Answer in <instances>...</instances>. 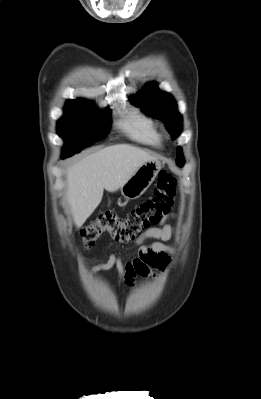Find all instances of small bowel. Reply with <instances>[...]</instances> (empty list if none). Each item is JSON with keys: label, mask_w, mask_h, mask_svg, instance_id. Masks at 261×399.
<instances>
[{"label": "small bowel", "mask_w": 261, "mask_h": 399, "mask_svg": "<svg viewBox=\"0 0 261 399\" xmlns=\"http://www.w3.org/2000/svg\"><path fill=\"white\" fill-rule=\"evenodd\" d=\"M173 215L165 216L158 227L146 230L136 241L137 255L127 262L115 254H110L107 261L96 265L92 273L106 271L115 267L120 276V282L131 288L135 284L137 276H151L159 279L160 276L154 269L165 270L170 265V256L175 253V249L165 242L175 236V228L167 221ZM153 239V243L146 244L145 241Z\"/></svg>", "instance_id": "small-bowel-1"}]
</instances>
